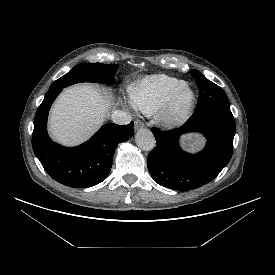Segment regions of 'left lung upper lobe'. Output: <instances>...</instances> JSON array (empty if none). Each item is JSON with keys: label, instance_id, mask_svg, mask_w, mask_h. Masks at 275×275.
<instances>
[{"label": "left lung upper lobe", "instance_id": "1", "mask_svg": "<svg viewBox=\"0 0 275 275\" xmlns=\"http://www.w3.org/2000/svg\"><path fill=\"white\" fill-rule=\"evenodd\" d=\"M200 89L199 104L196 110L208 112L213 110H230L229 102L221 88L208 80L198 70L191 71Z\"/></svg>", "mask_w": 275, "mask_h": 275}]
</instances>
